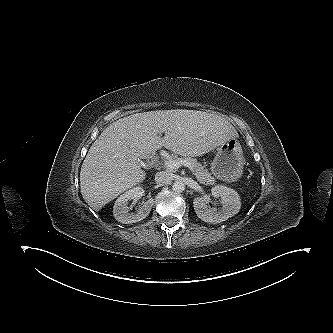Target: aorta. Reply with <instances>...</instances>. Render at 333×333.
Wrapping results in <instances>:
<instances>
[{
	"mask_svg": "<svg viewBox=\"0 0 333 333\" xmlns=\"http://www.w3.org/2000/svg\"><path fill=\"white\" fill-rule=\"evenodd\" d=\"M172 189L175 192H182V191L185 190V184L183 182H181V181H175L172 184Z\"/></svg>",
	"mask_w": 333,
	"mask_h": 333,
	"instance_id": "762f6f07",
	"label": "aorta"
}]
</instances>
